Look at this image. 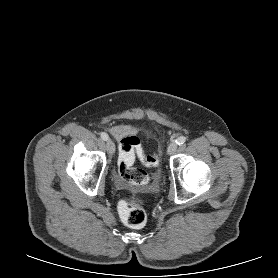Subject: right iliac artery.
Listing matches in <instances>:
<instances>
[{
	"mask_svg": "<svg viewBox=\"0 0 278 278\" xmlns=\"http://www.w3.org/2000/svg\"><path fill=\"white\" fill-rule=\"evenodd\" d=\"M101 138L104 140V141H106V140H108V135L105 133V132H102L101 134Z\"/></svg>",
	"mask_w": 278,
	"mask_h": 278,
	"instance_id": "right-iliac-artery-1",
	"label": "right iliac artery"
}]
</instances>
